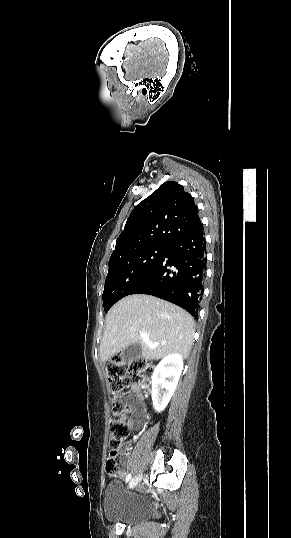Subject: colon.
<instances>
[{
    "instance_id": "1",
    "label": "colon",
    "mask_w": 291,
    "mask_h": 538,
    "mask_svg": "<svg viewBox=\"0 0 291 538\" xmlns=\"http://www.w3.org/2000/svg\"><path fill=\"white\" fill-rule=\"evenodd\" d=\"M105 370L113 396L114 413L109 422L110 454L106 461V472L112 476H118L123 472L118 449L130 432V423L125 416L129 409L123 399L127 389L131 386V377H139L148 382L154 374V367L148 358H134L126 369L122 358L115 356L106 363Z\"/></svg>"
}]
</instances>
